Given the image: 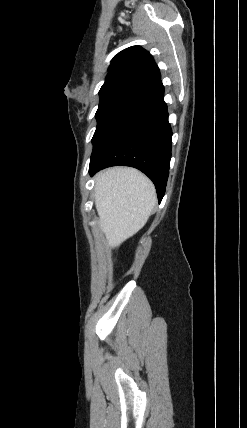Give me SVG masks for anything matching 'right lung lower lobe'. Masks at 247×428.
<instances>
[{
    "label": "right lung lower lobe",
    "mask_w": 247,
    "mask_h": 428,
    "mask_svg": "<svg viewBox=\"0 0 247 428\" xmlns=\"http://www.w3.org/2000/svg\"><path fill=\"white\" fill-rule=\"evenodd\" d=\"M161 80L140 93L93 144L89 172L116 165L135 167L155 184L159 203L166 188L172 130Z\"/></svg>",
    "instance_id": "right-lung-lower-lobe-1"
}]
</instances>
